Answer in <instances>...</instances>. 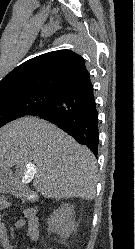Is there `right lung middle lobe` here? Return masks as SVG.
<instances>
[{"mask_svg": "<svg viewBox=\"0 0 135 249\" xmlns=\"http://www.w3.org/2000/svg\"><path fill=\"white\" fill-rule=\"evenodd\" d=\"M55 91H30L13 95H0V127L18 117L29 115L34 109L54 100Z\"/></svg>", "mask_w": 135, "mask_h": 249, "instance_id": "right-lung-middle-lobe-1", "label": "right lung middle lobe"}]
</instances>
